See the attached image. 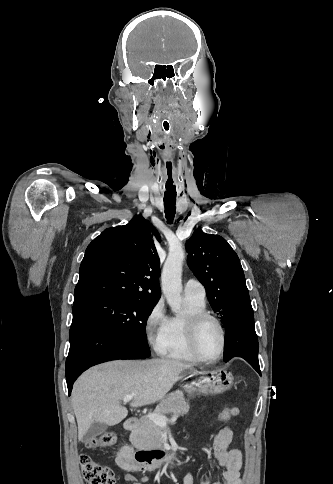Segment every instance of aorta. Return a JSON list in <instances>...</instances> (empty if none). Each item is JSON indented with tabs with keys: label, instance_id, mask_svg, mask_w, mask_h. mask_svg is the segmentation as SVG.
I'll return each instance as SVG.
<instances>
[{
	"label": "aorta",
	"instance_id": "762f6f07",
	"mask_svg": "<svg viewBox=\"0 0 333 484\" xmlns=\"http://www.w3.org/2000/svg\"><path fill=\"white\" fill-rule=\"evenodd\" d=\"M185 253L181 245L169 250L161 275V287L165 298L173 312L181 309L182 265Z\"/></svg>",
	"mask_w": 333,
	"mask_h": 484
}]
</instances>
